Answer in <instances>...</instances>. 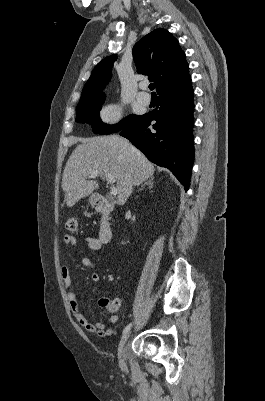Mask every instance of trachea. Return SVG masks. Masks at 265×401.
Returning <instances> with one entry per match:
<instances>
[{
    "mask_svg": "<svg viewBox=\"0 0 265 401\" xmlns=\"http://www.w3.org/2000/svg\"><path fill=\"white\" fill-rule=\"evenodd\" d=\"M154 88H155V86H154V83H150V85H149V89H150L151 91H153V90H154Z\"/></svg>",
    "mask_w": 265,
    "mask_h": 401,
    "instance_id": "obj_1",
    "label": "trachea"
}]
</instances>
